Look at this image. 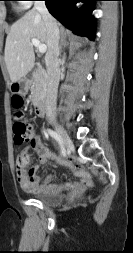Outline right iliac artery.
<instances>
[{"label": "right iliac artery", "instance_id": "obj_1", "mask_svg": "<svg viewBox=\"0 0 133 253\" xmlns=\"http://www.w3.org/2000/svg\"><path fill=\"white\" fill-rule=\"evenodd\" d=\"M47 132H48V134H49L52 138H54V139L61 145V147H62V139H61L60 135H59L57 132H55V131H53V130H51V129H47ZM62 154L65 155L64 149H62Z\"/></svg>", "mask_w": 133, "mask_h": 253}]
</instances>
